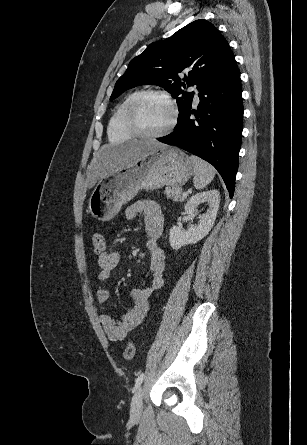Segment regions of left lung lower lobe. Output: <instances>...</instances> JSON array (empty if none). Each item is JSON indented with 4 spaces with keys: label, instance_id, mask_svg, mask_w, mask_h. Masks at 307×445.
Returning a JSON list of instances; mask_svg holds the SVG:
<instances>
[{
    "label": "left lung lower lobe",
    "instance_id": "obj_1",
    "mask_svg": "<svg viewBox=\"0 0 307 445\" xmlns=\"http://www.w3.org/2000/svg\"><path fill=\"white\" fill-rule=\"evenodd\" d=\"M240 72L234 57L198 93L197 111L191 109L175 130L159 141L180 147L211 163L234 194L243 128ZM194 114L196 119H190Z\"/></svg>",
    "mask_w": 307,
    "mask_h": 445
}]
</instances>
